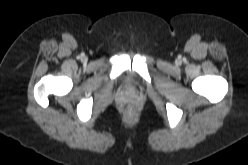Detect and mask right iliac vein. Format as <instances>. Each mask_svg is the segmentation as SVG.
Wrapping results in <instances>:
<instances>
[{"instance_id": "63e3f726", "label": "right iliac vein", "mask_w": 248, "mask_h": 165, "mask_svg": "<svg viewBox=\"0 0 248 165\" xmlns=\"http://www.w3.org/2000/svg\"><path fill=\"white\" fill-rule=\"evenodd\" d=\"M82 60L84 61V60H86V57L84 56V57H82Z\"/></svg>"}]
</instances>
